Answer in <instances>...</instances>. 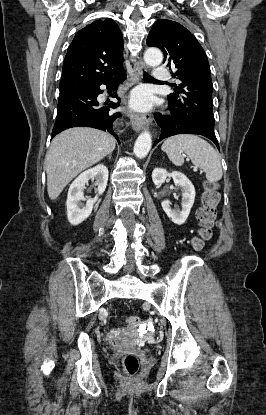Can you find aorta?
<instances>
[{
    "label": "aorta",
    "instance_id": "1",
    "mask_svg": "<svg viewBox=\"0 0 266 415\" xmlns=\"http://www.w3.org/2000/svg\"><path fill=\"white\" fill-rule=\"evenodd\" d=\"M163 60L162 52L156 48H149L144 54V61L147 65L155 67ZM152 145V138L148 131L142 132L134 145V154L138 158H144L149 153Z\"/></svg>",
    "mask_w": 266,
    "mask_h": 415
}]
</instances>
